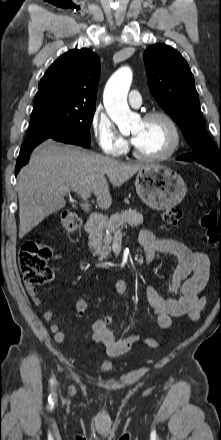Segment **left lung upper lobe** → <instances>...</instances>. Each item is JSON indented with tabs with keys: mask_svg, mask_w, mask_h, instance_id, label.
Returning a JSON list of instances; mask_svg holds the SVG:
<instances>
[{
	"mask_svg": "<svg viewBox=\"0 0 221 440\" xmlns=\"http://www.w3.org/2000/svg\"><path fill=\"white\" fill-rule=\"evenodd\" d=\"M144 64L151 94L195 152L182 155L184 159L221 170V152L216 151L205 128L194 76L186 60L172 47L155 44L145 50Z\"/></svg>",
	"mask_w": 221,
	"mask_h": 440,
	"instance_id": "1",
	"label": "left lung upper lobe"
}]
</instances>
